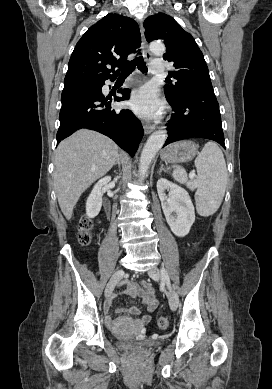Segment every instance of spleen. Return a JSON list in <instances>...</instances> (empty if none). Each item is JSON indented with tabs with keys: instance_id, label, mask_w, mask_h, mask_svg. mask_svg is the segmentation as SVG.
Listing matches in <instances>:
<instances>
[{
	"instance_id": "1",
	"label": "spleen",
	"mask_w": 272,
	"mask_h": 389,
	"mask_svg": "<svg viewBox=\"0 0 272 389\" xmlns=\"http://www.w3.org/2000/svg\"><path fill=\"white\" fill-rule=\"evenodd\" d=\"M195 166L198 174L195 181H189L183 169H175L173 178L191 190L197 189L196 209L201 216H210L221 205L228 179L221 149L214 142L206 143L195 159Z\"/></svg>"
}]
</instances>
